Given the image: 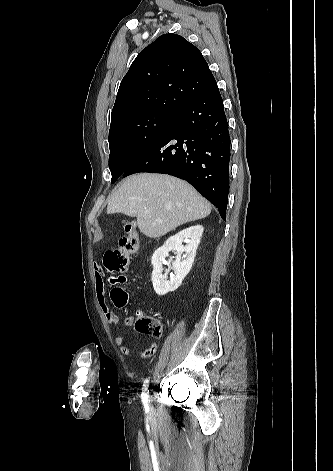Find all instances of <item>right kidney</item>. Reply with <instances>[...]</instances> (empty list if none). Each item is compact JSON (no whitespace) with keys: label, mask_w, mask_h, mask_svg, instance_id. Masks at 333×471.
I'll return each instance as SVG.
<instances>
[{"label":"right kidney","mask_w":333,"mask_h":471,"mask_svg":"<svg viewBox=\"0 0 333 471\" xmlns=\"http://www.w3.org/2000/svg\"><path fill=\"white\" fill-rule=\"evenodd\" d=\"M202 233V225L191 226L168 238L164 245L154 252L152 256V283L157 295H166L181 285L192 267ZM183 242L187 244L183 246ZM169 251H175L177 257L172 263L174 273L170 276V280H166V275H163L162 272Z\"/></svg>","instance_id":"1"}]
</instances>
